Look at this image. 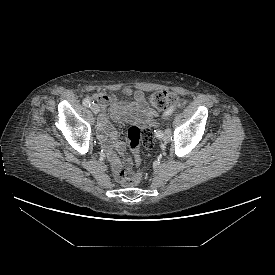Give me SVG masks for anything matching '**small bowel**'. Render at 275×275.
Returning a JSON list of instances; mask_svg holds the SVG:
<instances>
[{
  "label": "small bowel",
  "mask_w": 275,
  "mask_h": 275,
  "mask_svg": "<svg viewBox=\"0 0 275 275\" xmlns=\"http://www.w3.org/2000/svg\"><path fill=\"white\" fill-rule=\"evenodd\" d=\"M122 93L125 97L132 99L118 98L113 94L107 93L93 96L99 101L102 108L98 118V138L107 152V157L112 164L115 178L118 181H123L126 172L130 170H122L119 154L124 153L125 144L119 141V132L109 118L136 124L142 128L146 126L153 128L159 119V114L147 105L145 94L141 90L125 87ZM125 163L130 165L131 159L126 157Z\"/></svg>",
  "instance_id": "small-bowel-1"
}]
</instances>
